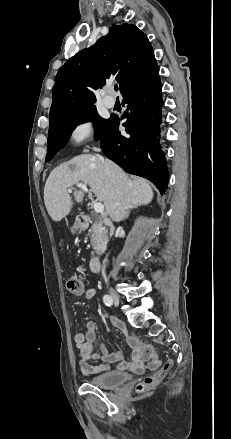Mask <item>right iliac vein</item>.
<instances>
[{"mask_svg": "<svg viewBox=\"0 0 231 439\" xmlns=\"http://www.w3.org/2000/svg\"><path fill=\"white\" fill-rule=\"evenodd\" d=\"M109 295H110L114 305L118 306L119 302H120L118 294L113 289H110L109 290Z\"/></svg>", "mask_w": 231, "mask_h": 439, "instance_id": "63e3f726", "label": "right iliac vein"}]
</instances>
